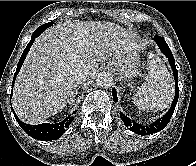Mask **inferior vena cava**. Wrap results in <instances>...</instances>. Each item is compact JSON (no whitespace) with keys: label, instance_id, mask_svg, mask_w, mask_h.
<instances>
[{"label":"inferior vena cava","instance_id":"inferior-vena-cava-1","mask_svg":"<svg viewBox=\"0 0 196 166\" xmlns=\"http://www.w3.org/2000/svg\"><path fill=\"white\" fill-rule=\"evenodd\" d=\"M74 80L77 84H81L82 82L88 80V73L78 70L75 72Z\"/></svg>","mask_w":196,"mask_h":166}]
</instances>
